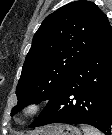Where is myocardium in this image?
Returning a JSON list of instances; mask_svg holds the SVG:
<instances>
[{"mask_svg":"<svg viewBox=\"0 0 112 135\" xmlns=\"http://www.w3.org/2000/svg\"><path fill=\"white\" fill-rule=\"evenodd\" d=\"M40 111V105L38 102H28L27 104H25L22 108V116L24 118H32L34 116H36Z\"/></svg>","mask_w":112,"mask_h":135,"instance_id":"myocardium-1","label":"myocardium"}]
</instances>
